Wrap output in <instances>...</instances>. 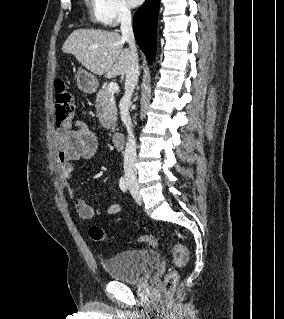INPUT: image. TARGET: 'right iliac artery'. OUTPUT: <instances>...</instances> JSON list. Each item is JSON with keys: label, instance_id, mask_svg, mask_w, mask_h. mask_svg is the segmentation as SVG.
Masks as SVG:
<instances>
[{"label": "right iliac artery", "instance_id": "right-iliac-artery-1", "mask_svg": "<svg viewBox=\"0 0 284 319\" xmlns=\"http://www.w3.org/2000/svg\"><path fill=\"white\" fill-rule=\"evenodd\" d=\"M119 186H120V189L123 191V192H126L127 191V182H126V179L124 177H121L120 180H119Z\"/></svg>", "mask_w": 284, "mask_h": 319}]
</instances>
